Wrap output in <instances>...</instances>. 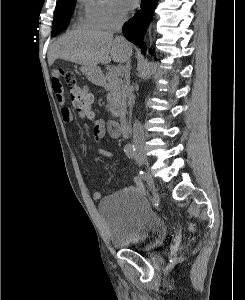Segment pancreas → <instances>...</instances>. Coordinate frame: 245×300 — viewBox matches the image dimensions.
I'll return each instance as SVG.
<instances>
[{"mask_svg": "<svg viewBox=\"0 0 245 300\" xmlns=\"http://www.w3.org/2000/svg\"><path fill=\"white\" fill-rule=\"evenodd\" d=\"M121 75V71L116 73L109 71L105 76L108 82L107 109L115 117H119L126 111V93Z\"/></svg>", "mask_w": 245, "mask_h": 300, "instance_id": "obj_1", "label": "pancreas"}]
</instances>
